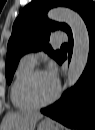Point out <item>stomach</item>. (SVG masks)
<instances>
[{"instance_id":"1","label":"stomach","mask_w":95,"mask_h":130,"mask_svg":"<svg viewBox=\"0 0 95 130\" xmlns=\"http://www.w3.org/2000/svg\"><path fill=\"white\" fill-rule=\"evenodd\" d=\"M37 130H59V127L52 120H44L38 124Z\"/></svg>"}]
</instances>
